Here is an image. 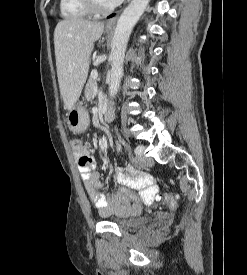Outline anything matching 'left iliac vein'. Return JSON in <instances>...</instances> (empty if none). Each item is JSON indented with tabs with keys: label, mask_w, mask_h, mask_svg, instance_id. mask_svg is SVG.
Returning a JSON list of instances; mask_svg holds the SVG:
<instances>
[{
	"label": "left iliac vein",
	"mask_w": 247,
	"mask_h": 275,
	"mask_svg": "<svg viewBox=\"0 0 247 275\" xmlns=\"http://www.w3.org/2000/svg\"><path fill=\"white\" fill-rule=\"evenodd\" d=\"M140 151L137 154V160L138 163L141 166H145V167H150L153 165V160L151 158L146 157L143 153H144V146H139Z\"/></svg>",
	"instance_id": "left-iliac-vein-1"
}]
</instances>
